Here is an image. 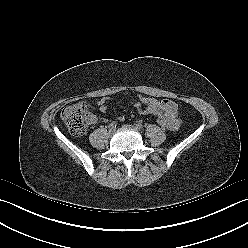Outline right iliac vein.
<instances>
[{"label":"right iliac vein","mask_w":248,"mask_h":248,"mask_svg":"<svg viewBox=\"0 0 248 248\" xmlns=\"http://www.w3.org/2000/svg\"><path fill=\"white\" fill-rule=\"evenodd\" d=\"M114 134V129H110L109 130V135H113Z\"/></svg>","instance_id":"1"}]
</instances>
